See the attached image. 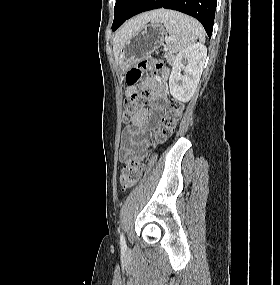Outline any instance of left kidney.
Listing matches in <instances>:
<instances>
[{
    "label": "left kidney",
    "instance_id": "1",
    "mask_svg": "<svg viewBox=\"0 0 280 285\" xmlns=\"http://www.w3.org/2000/svg\"><path fill=\"white\" fill-rule=\"evenodd\" d=\"M207 56V48L193 44L180 51L174 59L169 78L171 95L178 101L188 102L199 83ZM184 71L185 75L181 72Z\"/></svg>",
    "mask_w": 280,
    "mask_h": 285
}]
</instances>
